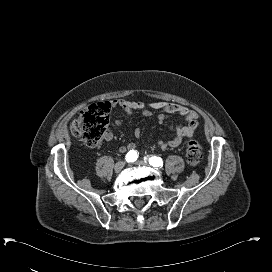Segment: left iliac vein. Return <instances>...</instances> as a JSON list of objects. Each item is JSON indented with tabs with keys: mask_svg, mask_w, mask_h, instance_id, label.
Returning <instances> with one entry per match:
<instances>
[{
	"mask_svg": "<svg viewBox=\"0 0 272 272\" xmlns=\"http://www.w3.org/2000/svg\"><path fill=\"white\" fill-rule=\"evenodd\" d=\"M136 164L139 166H145V165H147V162L140 160V161H137Z\"/></svg>",
	"mask_w": 272,
	"mask_h": 272,
	"instance_id": "obj_1",
	"label": "left iliac vein"
}]
</instances>
